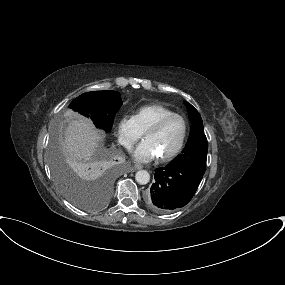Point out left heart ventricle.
I'll use <instances>...</instances> for the list:
<instances>
[{
	"label": "left heart ventricle",
	"instance_id": "1",
	"mask_svg": "<svg viewBox=\"0 0 285 285\" xmlns=\"http://www.w3.org/2000/svg\"><path fill=\"white\" fill-rule=\"evenodd\" d=\"M183 135V123L180 119H173L158 132L145 137L154 147L158 156L171 153L180 143Z\"/></svg>",
	"mask_w": 285,
	"mask_h": 285
}]
</instances>
